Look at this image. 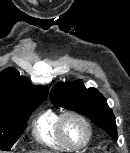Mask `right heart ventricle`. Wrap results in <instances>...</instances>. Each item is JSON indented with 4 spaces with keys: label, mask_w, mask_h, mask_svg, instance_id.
Segmentation results:
<instances>
[{
    "label": "right heart ventricle",
    "mask_w": 130,
    "mask_h": 153,
    "mask_svg": "<svg viewBox=\"0 0 130 153\" xmlns=\"http://www.w3.org/2000/svg\"><path fill=\"white\" fill-rule=\"evenodd\" d=\"M60 112L47 108L33 118L31 123L33 138L41 145L57 150H71L60 139L57 132V121Z\"/></svg>",
    "instance_id": "1"
}]
</instances>
